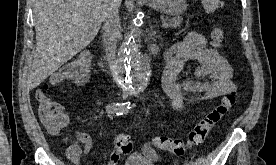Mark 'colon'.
<instances>
[{
  "label": "colon",
  "mask_w": 276,
  "mask_h": 165,
  "mask_svg": "<svg viewBox=\"0 0 276 165\" xmlns=\"http://www.w3.org/2000/svg\"><path fill=\"white\" fill-rule=\"evenodd\" d=\"M204 9L208 13H216L222 10L223 0H202ZM223 40V33L220 29H215L212 33L214 45H219ZM90 69V58L88 54H82L68 62L57 74L53 84L66 81L83 82L87 79ZM38 104L40 120L52 132H58L67 123V116L62 106L54 101L48 94V88L39 89L35 95ZM236 99L235 92L223 97L219 104L211 109L195 126L191 129L185 139L158 136L154 138L153 145L156 148L182 155L186 149L201 145L212 128L218 124L234 105ZM115 150L120 155H127L132 150V140L126 134H118L114 138ZM146 155L153 159L155 152L153 148L146 150Z\"/></svg>",
  "instance_id": "1"
}]
</instances>
